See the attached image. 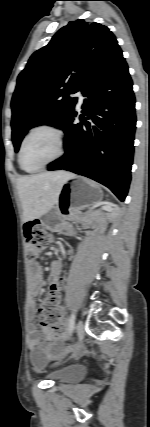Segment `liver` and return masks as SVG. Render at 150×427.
<instances>
[{"label": "liver", "instance_id": "6515ba94", "mask_svg": "<svg viewBox=\"0 0 150 427\" xmlns=\"http://www.w3.org/2000/svg\"><path fill=\"white\" fill-rule=\"evenodd\" d=\"M75 175L65 171L45 172L20 177L17 189L23 208L25 222L40 218L56 204L61 188Z\"/></svg>", "mask_w": 150, "mask_h": 427}]
</instances>
